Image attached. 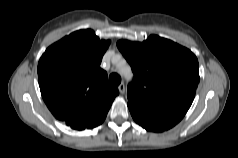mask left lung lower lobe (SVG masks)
Instances as JSON below:
<instances>
[{
	"mask_svg": "<svg viewBox=\"0 0 238 158\" xmlns=\"http://www.w3.org/2000/svg\"><path fill=\"white\" fill-rule=\"evenodd\" d=\"M131 115L136 123L148 131L162 132L176 125L185 114L166 113V114H147L135 110L129 106Z\"/></svg>",
	"mask_w": 238,
	"mask_h": 158,
	"instance_id": "1",
	"label": "left lung lower lobe"
}]
</instances>
